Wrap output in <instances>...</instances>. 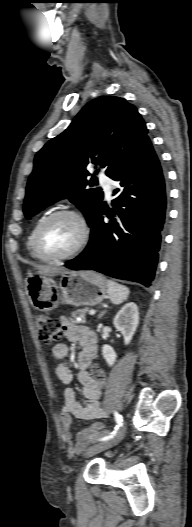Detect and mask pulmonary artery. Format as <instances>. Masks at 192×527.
<instances>
[{
  "label": "pulmonary artery",
  "mask_w": 192,
  "mask_h": 527,
  "mask_svg": "<svg viewBox=\"0 0 192 527\" xmlns=\"http://www.w3.org/2000/svg\"><path fill=\"white\" fill-rule=\"evenodd\" d=\"M98 178H99V181H100L101 185L103 186V189H104L106 197L110 198L111 192H112V187H111L112 182H111V180L103 173H100L98 175Z\"/></svg>",
  "instance_id": "pulmonary-artery-1"
}]
</instances>
